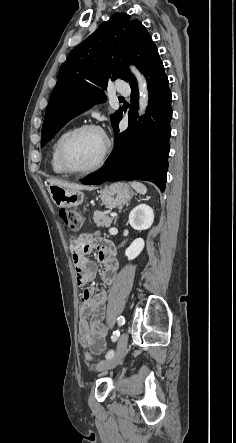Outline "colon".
<instances>
[{
  "instance_id": "5ec220e1",
  "label": "colon",
  "mask_w": 236,
  "mask_h": 443,
  "mask_svg": "<svg viewBox=\"0 0 236 443\" xmlns=\"http://www.w3.org/2000/svg\"><path fill=\"white\" fill-rule=\"evenodd\" d=\"M60 217L68 228L73 231L81 229L84 223V214L77 210H61ZM84 360L87 365H91L93 355L91 352L84 353Z\"/></svg>"
}]
</instances>
